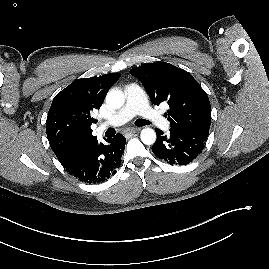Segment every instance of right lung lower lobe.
I'll list each match as a JSON object with an SVG mask.
<instances>
[{
    "instance_id": "98d812e1",
    "label": "right lung lower lobe",
    "mask_w": 269,
    "mask_h": 269,
    "mask_svg": "<svg viewBox=\"0 0 269 269\" xmlns=\"http://www.w3.org/2000/svg\"><path fill=\"white\" fill-rule=\"evenodd\" d=\"M106 141L108 142L106 145L98 143L97 139L88 143L62 162V166L82 182L89 184L104 182L120 167L126 139L123 135L117 134Z\"/></svg>"
}]
</instances>
